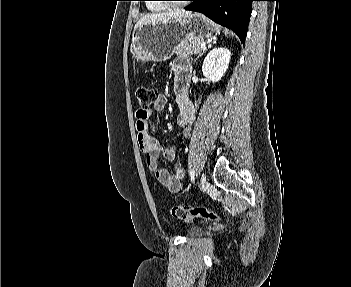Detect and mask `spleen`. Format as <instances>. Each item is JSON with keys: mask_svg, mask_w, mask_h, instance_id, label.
Instances as JSON below:
<instances>
[{"mask_svg": "<svg viewBox=\"0 0 351 287\" xmlns=\"http://www.w3.org/2000/svg\"><path fill=\"white\" fill-rule=\"evenodd\" d=\"M225 35H233V33L229 32L227 29L224 30Z\"/></svg>", "mask_w": 351, "mask_h": 287, "instance_id": "3e777b00", "label": "spleen"}]
</instances>
